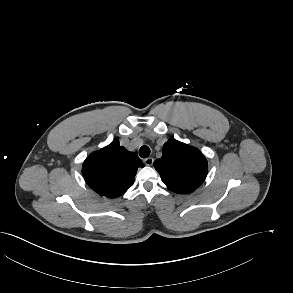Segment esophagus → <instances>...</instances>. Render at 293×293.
Wrapping results in <instances>:
<instances>
[{
  "instance_id": "1",
  "label": "esophagus",
  "mask_w": 293,
  "mask_h": 293,
  "mask_svg": "<svg viewBox=\"0 0 293 293\" xmlns=\"http://www.w3.org/2000/svg\"><path fill=\"white\" fill-rule=\"evenodd\" d=\"M154 162V159L152 157H148L144 160V163L147 165V166H151Z\"/></svg>"
}]
</instances>
